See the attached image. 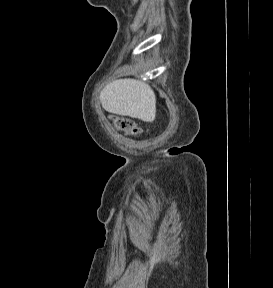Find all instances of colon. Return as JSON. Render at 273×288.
Returning a JSON list of instances; mask_svg holds the SVG:
<instances>
[{
	"mask_svg": "<svg viewBox=\"0 0 273 288\" xmlns=\"http://www.w3.org/2000/svg\"><path fill=\"white\" fill-rule=\"evenodd\" d=\"M115 127L124 132L125 134L131 136H137L141 134L140 127L130 118L122 117V116H112L111 117Z\"/></svg>",
	"mask_w": 273,
	"mask_h": 288,
	"instance_id": "obj_1",
	"label": "colon"
}]
</instances>
